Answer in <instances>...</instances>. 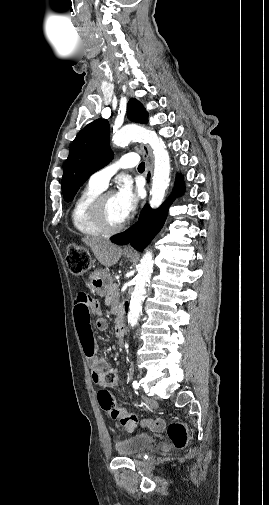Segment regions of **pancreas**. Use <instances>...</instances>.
Returning a JSON list of instances; mask_svg holds the SVG:
<instances>
[{"label":"pancreas","instance_id":"pancreas-1","mask_svg":"<svg viewBox=\"0 0 269 505\" xmlns=\"http://www.w3.org/2000/svg\"><path fill=\"white\" fill-rule=\"evenodd\" d=\"M119 289L117 284H113L106 293V298L108 299V304L110 306H118L119 304Z\"/></svg>","mask_w":269,"mask_h":505}]
</instances>
